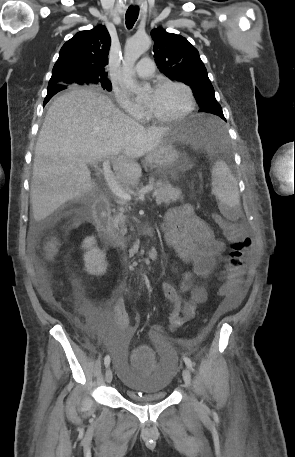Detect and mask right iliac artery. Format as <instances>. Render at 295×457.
Wrapping results in <instances>:
<instances>
[{"label":"right iliac artery","instance_id":"1","mask_svg":"<svg viewBox=\"0 0 295 457\" xmlns=\"http://www.w3.org/2000/svg\"><path fill=\"white\" fill-rule=\"evenodd\" d=\"M104 364L106 367L109 366L110 364V356L109 355H106L105 358H104Z\"/></svg>","mask_w":295,"mask_h":457}]
</instances>
